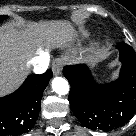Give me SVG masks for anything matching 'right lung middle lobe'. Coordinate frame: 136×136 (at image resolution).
Returning a JSON list of instances; mask_svg holds the SVG:
<instances>
[{"mask_svg":"<svg viewBox=\"0 0 136 136\" xmlns=\"http://www.w3.org/2000/svg\"><path fill=\"white\" fill-rule=\"evenodd\" d=\"M6 18H7V16H0V22H1L2 20L6 19Z\"/></svg>","mask_w":136,"mask_h":136,"instance_id":"dd1d6c3e","label":"right lung middle lobe"}]
</instances>
